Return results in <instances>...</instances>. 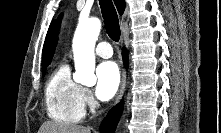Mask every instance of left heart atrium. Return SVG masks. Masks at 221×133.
Wrapping results in <instances>:
<instances>
[{
	"instance_id": "left-heart-atrium-1",
	"label": "left heart atrium",
	"mask_w": 221,
	"mask_h": 133,
	"mask_svg": "<svg viewBox=\"0 0 221 133\" xmlns=\"http://www.w3.org/2000/svg\"><path fill=\"white\" fill-rule=\"evenodd\" d=\"M120 84V72L116 63L102 62L96 68L95 93L101 100H108L114 96Z\"/></svg>"
}]
</instances>
